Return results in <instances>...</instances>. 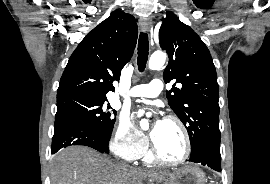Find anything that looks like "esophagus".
<instances>
[{"mask_svg":"<svg viewBox=\"0 0 270 184\" xmlns=\"http://www.w3.org/2000/svg\"><path fill=\"white\" fill-rule=\"evenodd\" d=\"M139 26L143 32H149L151 27V20L147 17L140 18Z\"/></svg>","mask_w":270,"mask_h":184,"instance_id":"1","label":"esophagus"}]
</instances>
